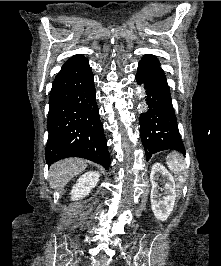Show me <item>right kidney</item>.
Wrapping results in <instances>:
<instances>
[{"mask_svg": "<svg viewBox=\"0 0 221 266\" xmlns=\"http://www.w3.org/2000/svg\"><path fill=\"white\" fill-rule=\"evenodd\" d=\"M100 174L96 171H90L83 174L71 190V199L78 200L90 193L97 185Z\"/></svg>", "mask_w": 221, "mask_h": 266, "instance_id": "obj_1", "label": "right kidney"}]
</instances>
